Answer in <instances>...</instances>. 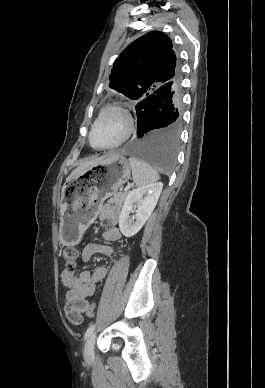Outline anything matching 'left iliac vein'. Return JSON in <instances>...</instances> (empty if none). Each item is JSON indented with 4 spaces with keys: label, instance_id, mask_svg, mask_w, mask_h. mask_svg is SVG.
Wrapping results in <instances>:
<instances>
[{
    "label": "left iliac vein",
    "instance_id": "obj_1",
    "mask_svg": "<svg viewBox=\"0 0 265 388\" xmlns=\"http://www.w3.org/2000/svg\"><path fill=\"white\" fill-rule=\"evenodd\" d=\"M96 339V333L92 332L86 340L84 356L87 360H91L94 356V344Z\"/></svg>",
    "mask_w": 265,
    "mask_h": 388
}]
</instances>
